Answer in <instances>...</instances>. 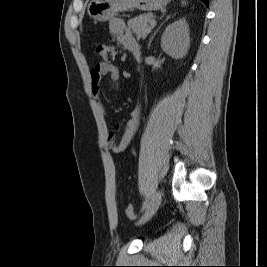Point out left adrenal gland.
<instances>
[{
  "mask_svg": "<svg viewBox=\"0 0 267 267\" xmlns=\"http://www.w3.org/2000/svg\"><path fill=\"white\" fill-rule=\"evenodd\" d=\"M170 15L166 17V19L160 24V26L156 29V31L153 33V35L150 37L149 39V43H148V49L150 48L151 42L153 40V38L155 37V35L157 34V32L159 31V29L161 28V26L168 20L170 19Z\"/></svg>",
  "mask_w": 267,
  "mask_h": 267,
  "instance_id": "a2214340",
  "label": "left adrenal gland"
}]
</instances>
